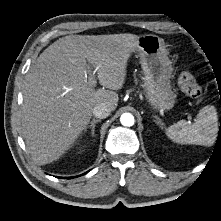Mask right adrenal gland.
<instances>
[{"label":"right adrenal gland","instance_id":"2a0ac1e0","mask_svg":"<svg viewBox=\"0 0 221 221\" xmlns=\"http://www.w3.org/2000/svg\"><path fill=\"white\" fill-rule=\"evenodd\" d=\"M100 121H101L100 119H93V120L90 122V125H89V126H86L85 132L87 131V128H90V129H91V135L94 136V131H95L96 123H98V122H100Z\"/></svg>","mask_w":221,"mask_h":221}]
</instances>
